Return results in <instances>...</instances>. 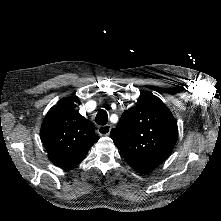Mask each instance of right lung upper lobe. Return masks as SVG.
<instances>
[{
  "label": "right lung upper lobe",
  "mask_w": 221,
  "mask_h": 221,
  "mask_svg": "<svg viewBox=\"0 0 221 221\" xmlns=\"http://www.w3.org/2000/svg\"><path fill=\"white\" fill-rule=\"evenodd\" d=\"M75 98H63L48 112L40 131L50 161L62 168L78 165L99 140L92 123L74 110Z\"/></svg>",
  "instance_id": "cb5924a9"
}]
</instances>
